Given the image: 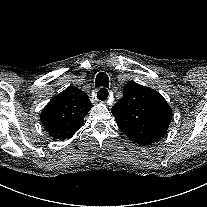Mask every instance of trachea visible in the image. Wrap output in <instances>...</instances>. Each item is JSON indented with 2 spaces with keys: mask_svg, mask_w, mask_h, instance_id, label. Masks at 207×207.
Returning <instances> with one entry per match:
<instances>
[{
  "mask_svg": "<svg viewBox=\"0 0 207 207\" xmlns=\"http://www.w3.org/2000/svg\"><path fill=\"white\" fill-rule=\"evenodd\" d=\"M95 85L96 87L103 86V88H101L98 92V99L102 101L106 100L108 97V91L106 88L109 87V78L107 74L104 72L98 73L96 76Z\"/></svg>",
  "mask_w": 207,
  "mask_h": 207,
  "instance_id": "trachea-1",
  "label": "trachea"
}]
</instances>
